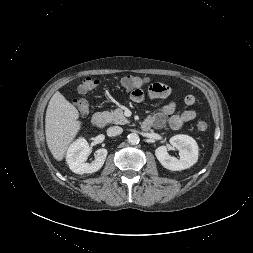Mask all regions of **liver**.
Wrapping results in <instances>:
<instances>
[{"instance_id": "6515ba94", "label": "liver", "mask_w": 253, "mask_h": 253, "mask_svg": "<svg viewBox=\"0 0 253 253\" xmlns=\"http://www.w3.org/2000/svg\"><path fill=\"white\" fill-rule=\"evenodd\" d=\"M78 110L59 92L49 101L45 118L46 142L53 157L61 161L81 129Z\"/></svg>"}]
</instances>
